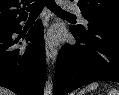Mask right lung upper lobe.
<instances>
[{"label": "right lung upper lobe", "mask_w": 119, "mask_h": 95, "mask_svg": "<svg viewBox=\"0 0 119 95\" xmlns=\"http://www.w3.org/2000/svg\"><path fill=\"white\" fill-rule=\"evenodd\" d=\"M33 0H0V29L10 28L19 24L21 20H26L27 13L23 4L30 3Z\"/></svg>", "instance_id": "right-lung-upper-lobe-1"}]
</instances>
